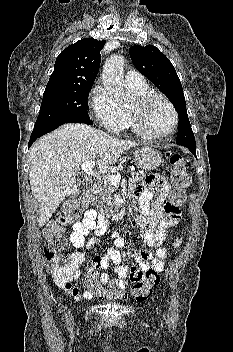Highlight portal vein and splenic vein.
<instances>
[{
	"label": "portal vein and splenic vein",
	"instance_id": "portal-vein-and-splenic-vein-1",
	"mask_svg": "<svg viewBox=\"0 0 233 352\" xmlns=\"http://www.w3.org/2000/svg\"><path fill=\"white\" fill-rule=\"evenodd\" d=\"M95 162L93 160L87 161L81 165V169L88 175L96 176L98 173L93 171ZM107 179L111 182L112 185H119L121 177L120 175L111 174L107 176Z\"/></svg>",
	"mask_w": 233,
	"mask_h": 352
}]
</instances>
